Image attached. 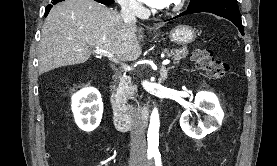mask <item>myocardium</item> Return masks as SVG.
<instances>
[{"label":"myocardium","mask_w":277,"mask_h":166,"mask_svg":"<svg viewBox=\"0 0 277 166\" xmlns=\"http://www.w3.org/2000/svg\"><path fill=\"white\" fill-rule=\"evenodd\" d=\"M186 0H177L176 3L168 9L162 11L163 15H172L179 12L185 5Z\"/></svg>","instance_id":"f54148a6"}]
</instances>
